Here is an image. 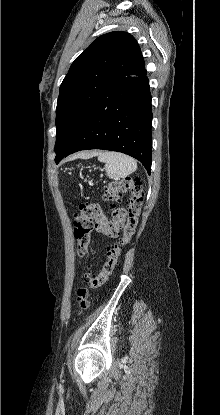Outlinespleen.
<instances>
[{
	"instance_id": "spleen-1",
	"label": "spleen",
	"mask_w": 220,
	"mask_h": 415,
	"mask_svg": "<svg viewBox=\"0 0 220 415\" xmlns=\"http://www.w3.org/2000/svg\"><path fill=\"white\" fill-rule=\"evenodd\" d=\"M97 155L98 160L105 163L106 173L111 179L124 178L137 169L136 161L128 155L113 151L99 152Z\"/></svg>"
}]
</instances>
